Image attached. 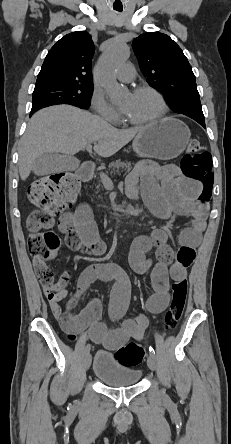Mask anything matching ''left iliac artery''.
<instances>
[{
	"instance_id": "obj_1",
	"label": "left iliac artery",
	"mask_w": 231,
	"mask_h": 444,
	"mask_svg": "<svg viewBox=\"0 0 231 444\" xmlns=\"http://www.w3.org/2000/svg\"><path fill=\"white\" fill-rule=\"evenodd\" d=\"M149 351H150V353H151L152 355H154V356H155V351H154V349H153V347H152V346H150V347H149Z\"/></svg>"
}]
</instances>
